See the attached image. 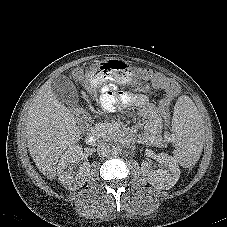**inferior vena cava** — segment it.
Returning a JSON list of instances; mask_svg holds the SVG:
<instances>
[{
    "label": "inferior vena cava",
    "instance_id": "obj_1",
    "mask_svg": "<svg viewBox=\"0 0 227 227\" xmlns=\"http://www.w3.org/2000/svg\"><path fill=\"white\" fill-rule=\"evenodd\" d=\"M97 153L99 156H108L111 153L110 146L107 143H99L97 146Z\"/></svg>",
    "mask_w": 227,
    "mask_h": 227
}]
</instances>
